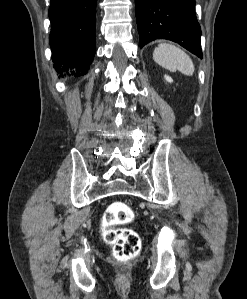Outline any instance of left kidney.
<instances>
[{"label": "left kidney", "instance_id": "1", "mask_svg": "<svg viewBox=\"0 0 247 299\" xmlns=\"http://www.w3.org/2000/svg\"><path fill=\"white\" fill-rule=\"evenodd\" d=\"M164 78L167 82H170V83L173 82L172 78L167 75H165Z\"/></svg>", "mask_w": 247, "mask_h": 299}]
</instances>
